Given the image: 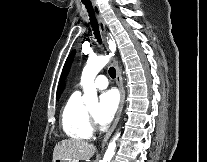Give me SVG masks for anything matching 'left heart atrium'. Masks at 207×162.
<instances>
[{"label": "left heart atrium", "instance_id": "1", "mask_svg": "<svg viewBox=\"0 0 207 162\" xmlns=\"http://www.w3.org/2000/svg\"><path fill=\"white\" fill-rule=\"evenodd\" d=\"M119 107V96L115 90H108L101 94L99 106L96 111L97 121L107 125L114 118Z\"/></svg>", "mask_w": 207, "mask_h": 162}]
</instances>
